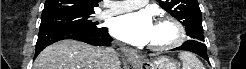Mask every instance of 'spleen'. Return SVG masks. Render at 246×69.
Listing matches in <instances>:
<instances>
[{"mask_svg": "<svg viewBox=\"0 0 246 69\" xmlns=\"http://www.w3.org/2000/svg\"><path fill=\"white\" fill-rule=\"evenodd\" d=\"M179 58L182 61L183 69H205L201 61L190 52H181Z\"/></svg>", "mask_w": 246, "mask_h": 69, "instance_id": "obj_1", "label": "spleen"}]
</instances>
